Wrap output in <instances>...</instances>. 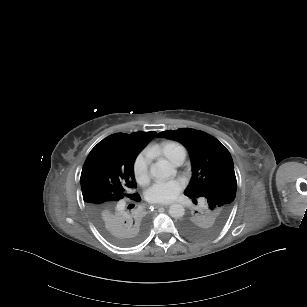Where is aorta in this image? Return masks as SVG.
Wrapping results in <instances>:
<instances>
[{
	"instance_id": "obj_1",
	"label": "aorta",
	"mask_w": 307,
	"mask_h": 307,
	"mask_svg": "<svg viewBox=\"0 0 307 307\" xmlns=\"http://www.w3.org/2000/svg\"><path fill=\"white\" fill-rule=\"evenodd\" d=\"M150 175L157 180L168 179L175 174V170L172 164L166 159H160L150 165ZM169 214L172 218L179 219L185 214V209L183 205L178 203H173L169 207Z\"/></svg>"
}]
</instances>
